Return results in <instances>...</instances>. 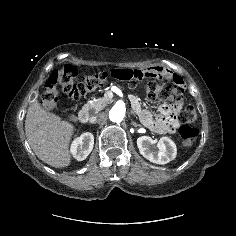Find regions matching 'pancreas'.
Here are the masks:
<instances>
[{"mask_svg":"<svg viewBox=\"0 0 236 236\" xmlns=\"http://www.w3.org/2000/svg\"><path fill=\"white\" fill-rule=\"evenodd\" d=\"M111 100L107 97H99L97 99H94L91 103H88L85 105V107L89 110H94L95 112H98L102 110L107 104H109Z\"/></svg>","mask_w":236,"mask_h":236,"instance_id":"pancreas-1","label":"pancreas"}]
</instances>
